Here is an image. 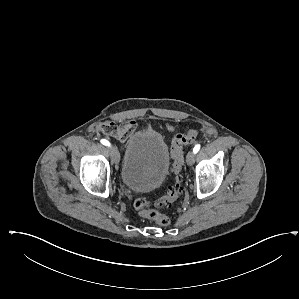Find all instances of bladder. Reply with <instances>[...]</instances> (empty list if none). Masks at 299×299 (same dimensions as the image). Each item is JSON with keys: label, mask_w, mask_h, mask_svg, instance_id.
<instances>
[{"label": "bladder", "mask_w": 299, "mask_h": 299, "mask_svg": "<svg viewBox=\"0 0 299 299\" xmlns=\"http://www.w3.org/2000/svg\"><path fill=\"white\" fill-rule=\"evenodd\" d=\"M169 153L163 136L154 130L132 136L125 147L121 180L136 192L152 191L168 175Z\"/></svg>", "instance_id": "bladder-1"}]
</instances>
